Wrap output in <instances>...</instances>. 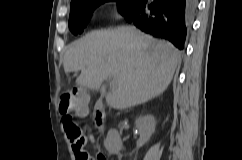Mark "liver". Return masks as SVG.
Instances as JSON below:
<instances>
[{"instance_id": "obj_1", "label": "liver", "mask_w": 242, "mask_h": 160, "mask_svg": "<svg viewBox=\"0 0 242 160\" xmlns=\"http://www.w3.org/2000/svg\"><path fill=\"white\" fill-rule=\"evenodd\" d=\"M180 52L169 42L134 27L93 31L73 42L64 55V71H81L80 86L98 90L103 81H115L106 96L118 110L143 104L161 95L170 84Z\"/></svg>"}]
</instances>
